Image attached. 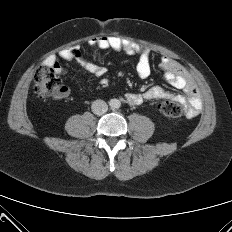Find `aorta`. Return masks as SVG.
<instances>
[{"label": "aorta", "instance_id": "1", "mask_svg": "<svg viewBox=\"0 0 232 232\" xmlns=\"http://www.w3.org/2000/svg\"><path fill=\"white\" fill-rule=\"evenodd\" d=\"M110 106L112 108H119L121 106V102L118 99H111Z\"/></svg>", "mask_w": 232, "mask_h": 232}]
</instances>
